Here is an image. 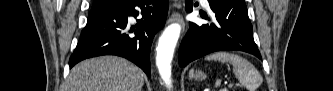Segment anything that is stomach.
<instances>
[{
  "label": "stomach",
  "mask_w": 333,
  "mask_h": 91,
  "mask_svg": "<svg viewBox=\"0 0 333 91\" xmlns=\"http://www.w3.org/2000/svg\"><path fill=\"white\" fill-rule=\"evenodd\" d=\"M193 76L197 80H203L205 78V75L202 71H196Z\"/></svg>",
  "instance_id": "0dacf381"
}]
</instances>
